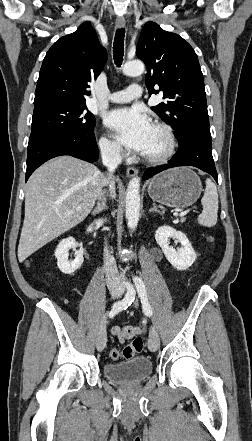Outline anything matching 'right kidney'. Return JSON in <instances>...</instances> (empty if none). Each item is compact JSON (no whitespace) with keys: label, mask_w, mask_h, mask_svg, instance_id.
Wrapping results in <instances>:
<instances>
[{"label":"right kidney","mask_w":252,"mask_h":441,"mask_svg":"<svg viewBox=\"0 0 252 441\" xmlns=\"http://www.w3.org/2000/svg\"><path fill=\"white\" fill-rule=\"evenodd\" d=\"M78 246L73 237L63 239L55 250V257L57 258V266L64 274L71 275L78 270L83 263L84 249L80 248L73 261H68L69 249Z\"/></svg>","instance_id":"ca27d5eb"}]
</instances>
